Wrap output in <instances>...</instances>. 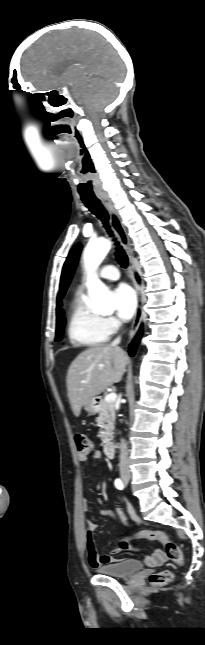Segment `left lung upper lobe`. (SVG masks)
<instances>
[{
  "instance_id": "left-lung-upper-lobe-1",
  "label": "left lung upper lobe",
  "mask_w": 205,
  "mask_h": 645,
  "mask_svg": "<svg viewBox=\"0 0 205 645\" xmlns=\"http://www.w3.org/2000/svg\"><path fill=\"white\" fill-rule=\"evenodd\" d=\"M81 251V245H76L73 247L65 261L62 276H61V295L63 296L69 283L72 278L73 272L75 270L79 255Z\"/></svg>"
}]
</instances>
